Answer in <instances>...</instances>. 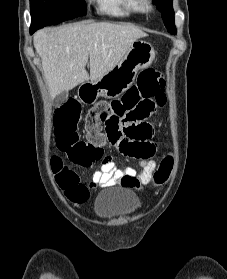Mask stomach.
Returning <instances> with one entry per match:
<instances>
[{
  "mask_svg": "<svg viewBox=\"0 0 227 279\" xmlns=\"http://www.w3.org/2000/svg\"><path fill=\"white\" fill-rule=\"evenodd\" d=\"M154 58L153 46L147 41L137 39L122 60L110 71L95 81H86L79 86L80 101L85 104H93L100 96L118 97L130 88L137 72L151 65Z\"/></svg>",
  "mask_w": 227,
  "mask_h": 279,
  "instance_id": "stomach-1",
  "label": "stomach"
}]
</instances>
